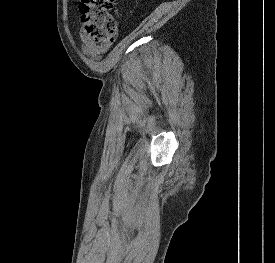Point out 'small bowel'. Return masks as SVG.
Here are the masks:
<instances>
[{"mask_svg":"<svg viewBox=\"0 0 275 263\" xmlns=\"http://www.w3.org/2000/svg\"><path fill=\"white\" fill-rule=\"evenodd\" d=\"M81 47L85 55L92 58H100V56L109 49V43L96 44L89 36L81 34Z\"/></svg>","mask_w":275,"mask_h":263,"instance_id":"c3829d8e","label":"small bowel"}]
</instances>
